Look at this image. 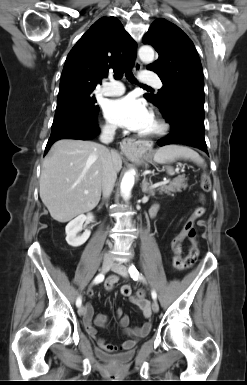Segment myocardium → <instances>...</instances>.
I'll return each mask as SVG.
<instances>
[{"label": "myocardium", "instance_id": "f54148a6", "mask_svg": "<svg viewBox=\"0 0 247 385\" xmlns=\"http://www.w3.org/2000/svg\"><path fill=\"white\" fill-rule=\"evenodd\" d=\"M152 116L156 123V128L151 132L141 133L140 134L141 137L156 138V137L163 136L168 131V128H169L168 124L158 113H153Z\"/></svg>", "mask_w": 247, "mask_h": 385}]
</instances>
